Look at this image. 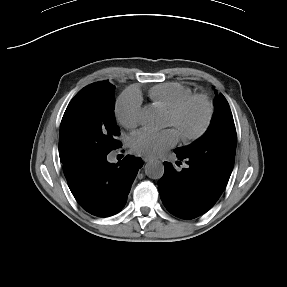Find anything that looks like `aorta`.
<instances>
[{"instance_id":"762f6f07","label":"aorta","mask_w":287,"mask_h":287,"mask_svg":"<svg viewBox=\"0 0 287 287\" xmlns=\"http://www.w3.org/2000/svg\"><path fill=\"white\" fill-rule=\"evenodd\" d=\"M145 174L151 179H160L164 174V165L160 161H151L145 165Z\"/></svg>"}]
</instances>
